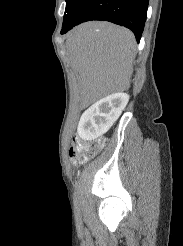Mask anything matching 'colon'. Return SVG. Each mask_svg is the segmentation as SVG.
I'll return each instance as SVG.
<instances>
[{"label":"colon","instance_id":"1","mask_svg":"<svg viewBox=\"0 0 183 246\" xmlns=\"http://www.w3.org/2000/svg\"><path fill=\"white\" fill-rule=\"evenodd\" d=\"M103 145L104 143L102 141H95L85 145L75 144L71 146L70 153L71 155L78 157L79 160L84 161L98 154Z\"/></svg>","mask_w":183,"mask_h":246}]
</instances>
